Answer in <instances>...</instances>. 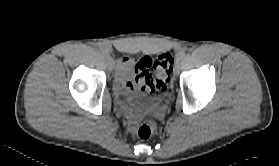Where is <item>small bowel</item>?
I'll list each match as a JSON object with an SVG mask.
<instances>
[{
  "instance_id": "small-bowel-1",
  "label": "small bowel",
  "mask_w": 279,
  "mask_h": 166,
  "mask_svg": "<svg viewBox=\"0 0 279 166\" xmlns=\"http://www.w3.org/2000/svg\"><path fill=\"white\" fill-rule=\"evenodd\" d=\"M133 68L134 62L129 57L117 59L115 73V87L117 90L132 91L136 89Z\"/></svg>"
}]
</instances>
